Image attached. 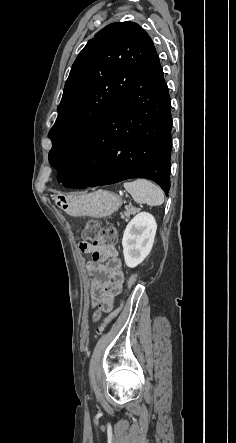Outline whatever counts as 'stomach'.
<instances>
[{
  "instance_id": "stomach-1",
  "label": "stomach",
  "mask_w": 236,
  "mask_h": 443,
  "mask_svg": "<svg viewBox=\"0 0 236 443\" xmlns=\"http://www.w3.org/2000/svg\"><path fill=\"white\" fill-rule=\"evenodd\" d=\"M56 204L71 215L103 218L116 212L121 207L122 200L113 192L97 190L84 195L60 196Z\"/></svg>"
}]
</instances>
